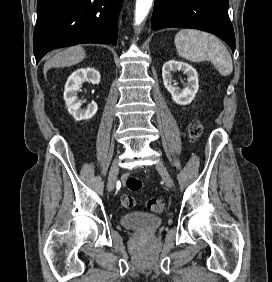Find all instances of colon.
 Here are the masks:
<instances>
[{
    "mask_svg": "<svg viewBox=\"0 0 272 282\" xmlns=\"http://www.w3.org/2000/svg\"><path fill=\"white\" fill-rule=\"evenodd\" d=\"M202 133V125L199 122L191 124L189 129V135L192 140H197ZM126 186L131 191H138L142 187V182L139 178L128 177L126 180ZM121 203L124 208H132L136 204V199L131 195H123L121 197ZM147 208L152 213H160L164 209V201L160 198H149L146 202Z\"/></svg>",
    "mask_w": 272,
    "mask_h": 282,
    "instance_id": "obj_1",
    "label": "colon"
}]
</instances>
